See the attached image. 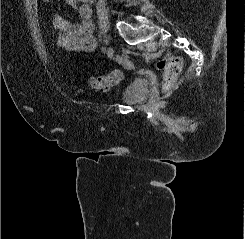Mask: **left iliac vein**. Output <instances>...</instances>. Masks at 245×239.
Returning a JSON list of instances; mask_svg holds the SVG:
<instances>
[{"label": "left iliac vein", "mask_w": 245, "mask_h": 239, "mask_svg": "<svg viewBox=\"0 0 245 239\" xmlns=\"http://www.w3.org/2000/svg\"><path fill=\"white\" fill-rule=\"evenodd\" d=\"M113 55H114V49H113V47L109 46L108 49H107V56L109 58H112Z\"/></svg>", "instance_id": "obj_1"}]
</instances>
